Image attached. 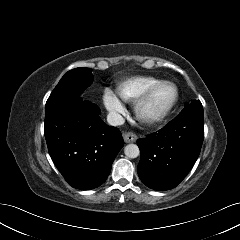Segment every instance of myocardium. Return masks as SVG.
I'll return each instance as SVG.
<instances>
[{
  "label": "myocardium",
  "mask_w": 240,
  "mask_h": 240,
  "mask_svg": "<svg viewBox=\"0 0 240 240\" xmlns=\"http://www.w3.org/2000/svg\"><path fill=\"white\" fill-rule=\"evenodd\" d=\"M164 86H171L175 89V97L173 99V101L171 102V104L161 113L159 114H155V115H150L147 114L144 110L146 104L148 103V101L151 99V97L153 96V94L160 88L164 87ZM180 98V92L179 89L177 87V85L173 82L170 81H161L153 86H151L150 88H148L136 101L134 104V113L136 115V118L146 124V125H156L160 122H162L163 120H165L174 110V108L176 107V105L178 104Z\"/></svg>",
  "instance_id": "f54148a6"
}]
</instances>
